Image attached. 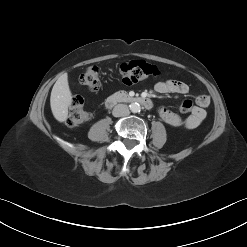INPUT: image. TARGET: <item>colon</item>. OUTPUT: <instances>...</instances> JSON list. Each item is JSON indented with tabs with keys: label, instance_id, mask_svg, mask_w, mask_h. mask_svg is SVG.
Instances as JSON below:
<instances>
[{
	"label": "colon",
	"instance_id": "obj_1",
	"mask_svg": "<svg viewBox=\"0 0 247 247\" xmlns=\"http://www.w3.org/2000/svg\"><path fill=\"white\" fill-rule=\"evenodd\" d=\"M119 73L122 82L126 85H132L150 77H158L160 72L158 68L144 60H131L120 65ZM80 83L89 90H97L100 86V71L96 66L88 67L80 76ZM193 103L191 100H185L179 107L181 113L191 111ZM90 113L84 109L83 99L80 96H74L71 101L67 124L70 127H78L90 120Z\"/></svg>",
	"mask_w": 247,
	"mask_h": 247
}]
</instances>
